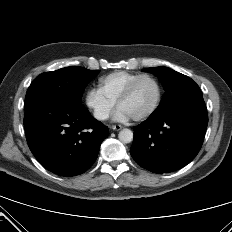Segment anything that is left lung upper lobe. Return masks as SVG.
<instances>
[{"mask_svg":"<svg viewBox=\"0 0 232 232\" xmlns=\"http://www.w3.org/2000/svg\"><path fill=\"white\" fill-rule=\"evenodd\" d=\"M144 70L156 75L165 90L161 103L153 113L161 112L171 104L201 92L199 86L191 78L168 67H153L145 68Z\"/></svg>","mask_w":232,"mask_h":232,"instance_id":"obj_1","label":"left lung upper lobe"}]
</instances>
